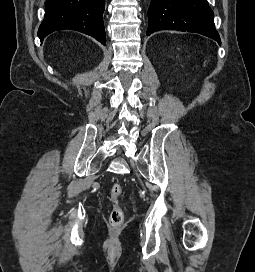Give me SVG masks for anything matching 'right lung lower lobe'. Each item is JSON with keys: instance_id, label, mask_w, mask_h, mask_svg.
Wrapping results in <instances>:
<instances>
[{"instance_id": "right-lung-lower-lobe-1", "label": "right lung lower lobe", "mask_w": 255, "mask_h": 272, "mask_svg": "<svg viewBox=\"0 0 255 272\" xmlns=\"http://www.w3.org/2000/svg\"><path fill=\"white\" fill-rule=\"evenodd\" d=\"M45 16L38 36L43 39L58 30H76L105 45L103 12L105 0H46Z\"/></svg>"}]
</instances>
